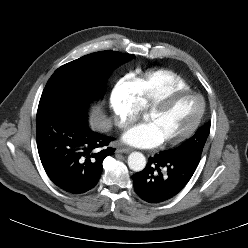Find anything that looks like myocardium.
I'll use <instances>...</instances> for the list:
<instances>
[{
    "label": "myocardium",
    "instance_id": "myocardium-1",
    "mask_svg": "<svg viewBox=\"0 0 248 248\" xmlns=\"http://www.w3.org/2000/svg\"><path fill=\"white\" fill-rule=\"evenodd\" d=\"M185 96H195L200 101V110L199 113L193 122V124L181 135H179L176 138L165 140L161 142V146L163 147H174L177 146L183 142H185L187 139H189L198 129L200 126L203 117L205 115L206 111V101L202 94L192 91V90H174L166 93L165 95L161 96L160 98L153 101L145 111L144 116H146L149 113H153L159 110H163L166 108L169 104H171L173 101L185 97Z\"/></svg>",
    "mask_w": 248,
    "mask_h": 248
}]
</instances>
